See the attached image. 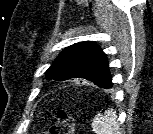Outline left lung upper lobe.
Here are the masks:
<instances>
[{
	"label": "left lung upper lobe",
	"instance_id": "obj_1",
	"mask_svg": "<svg viewBox=\"0 0 153 134\" xmlns=\"http://www.w3.org/2000/svg\"><path fill=\"white\" fill-rule=\"evenodd\" d=\"M47 79L82 78L101 87H112L106 54L95 42L85 41L65 48L45 72Z\"/></svg>",
	"mask_w": 153,
	"mask_h": 134
}]
</instances>
